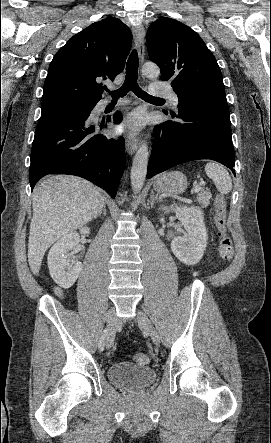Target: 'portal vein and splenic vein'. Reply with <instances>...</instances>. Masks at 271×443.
<instances>
[{
    "instance_id": "obj_1",
    "label": "portal vein and splenic vein",
    "mask_w": 271,
    "mask_h": 443,
    "mask_svg": "<svg viewBox=\"0 0 271 443\" xmlns=\"http://www.w3.org/2000/svg\"><path fill=\"white\" fill-rule=\"evenodd\" d=\"M206 182L194 183L192 187V194H198L201 190V186H205Z\"/></svg>"
}]
</instances>
